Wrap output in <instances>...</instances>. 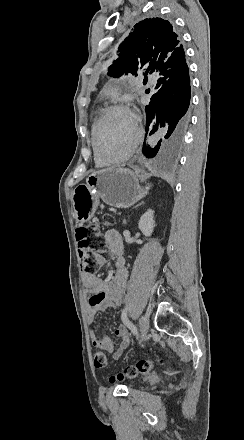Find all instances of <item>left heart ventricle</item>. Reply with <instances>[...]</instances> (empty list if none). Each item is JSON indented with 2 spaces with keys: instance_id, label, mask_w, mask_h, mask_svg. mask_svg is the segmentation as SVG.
<instances>
[{
  "instance_id": "1",
  "label": "left heart ventricle",
  "mask_w": 244,
  "mask_h": 440,
  "mask_svg": "<svg viewBox=\"0 0 244 440\" xmlns=\"http://www.w3.org/2000/svg\"><path fill=\"white\" fill-rule=\"evenodd\" d=\"M109 124H104L102 143L100 148L104 151H112L114 146L125 145L135 134V128L130 114L125 111H113L108 120Z\"/></svg>"
}]
</instances>
